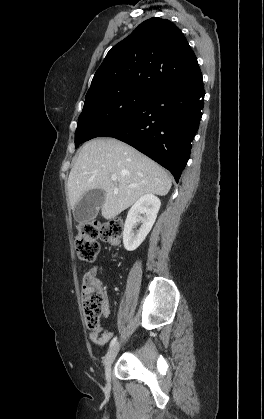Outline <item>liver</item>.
I'll list each match as a JSON object with an SVG mask.
<instances>
[{
    "label": "liver",
    "mask_w": 264,
    "mask_h": 419,
    "mask_svg": "<svg viewBox=\"0 0 264 419\" xmlns=\"http://www.w3.org/2000/svg\"><path fill=\"white\" fill-rule=\"evenodd\" d=\"M112 175L116 180L111 179ZM171 186L172 180L162 167L114 138H97L84 144L67 183L72 209L87 191L103 190L105 200L101 214L107 220L145 194L165 196Z\"/></svg>",
    "instance_id": "1"
}]
</instances>
